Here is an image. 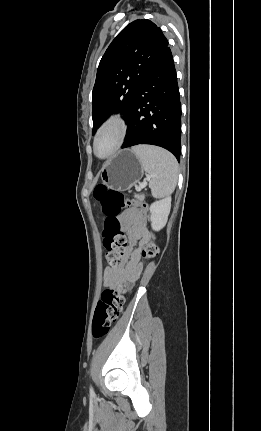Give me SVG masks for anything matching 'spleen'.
<instances>
[{"mask_svg": "<svg viewBox=\"0 0 261 431\" xmlns=\"http://www.w3.org/2000/svg\"><path fill=\"white\" fill-rule=\"evenodd\" d=\"M131 151L139 159L143 170L150 176L149 187L154 198L169 196L175 189L178 163L168 151L147 145L133 147Z\"/></svg>", "mask_w": 261, "mask_h": 431, "instance_id": "1", "label": "spleen"}]
</instances>
